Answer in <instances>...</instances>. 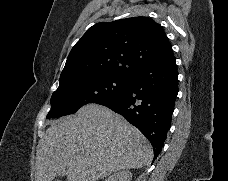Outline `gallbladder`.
Masks as SVG:
<instances>
[{
  "mask_svg": "<svg viewBox=\"0 0 228 181\" xmlns=\"http://www.w3.org/2000/svg\"><path fill=\"white\" fill-rule=\"evenodd\" d=\"M59 177H63V175H65V173H58Z\"/></svg>",
  "mask_w": 228,
  "mask_h": 181,
  "instance_id": "gallbladder-1",
  "label": "gallbladder"
}]
</instances>
